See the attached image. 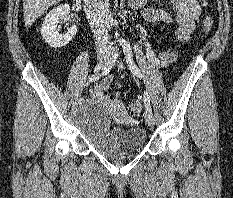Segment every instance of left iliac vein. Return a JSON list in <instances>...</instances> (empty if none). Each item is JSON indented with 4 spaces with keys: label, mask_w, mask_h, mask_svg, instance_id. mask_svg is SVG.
Segmentation results:
<instances>
[{
    "label": "left iliac vein",
    "mask_w": 233,
    "mask_h": 198,
    "mask_svg": "<svg viewBox=\"0 0 233 198\" xmlns=\"http://www.w3.org/2000/svg\"><path fill=\"white\" fill-rule=\"evenodd\" d=\"M118 67L123 68V65L121 62H118ZM145 120H146L147 124L150 126H153L155 123L154 116H153V114H150V113H146Z\"/></svg>",
    "instance_id": "left-iliac-vein-1"
}]
</instances>
